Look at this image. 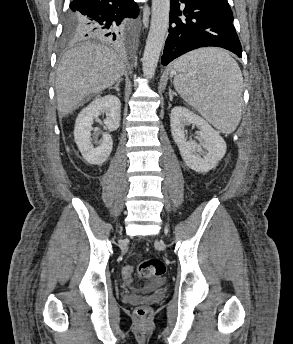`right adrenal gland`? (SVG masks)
Returning <instances> with one entry per match:
<instances>
[{"instance_id":"1","label":"right adrenal gland","mask_w":293,"mask_h":344,"mask_svg":"<svg viewBox=\"0 0 293 344\" xmlns=\"http://www.w3.org/2000/svg\"><path fill=\"white\" fill-rule=\"evenodd\" d=\"M119 85H120V81L117 82V84L114 87H111L110 89H115L117 92H120Z\"/></svg>"}]
</instances>
